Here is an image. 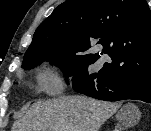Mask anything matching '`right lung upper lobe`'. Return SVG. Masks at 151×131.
Listing matches in <instances>:
<instances>
[{
    "label": "right lung upper lobe",
    "mask_w": 151,
    "mask_h": 131,
    "mask_svg": "<svg viewBox=\"0 0 151 131\" xmlns=\"http://www.w3.org/2000/svg\"><path fill=\"white\" fill-rule=\"evenodd\" d=\"M68 45L97 61L104 77L151 74V11L145 0H67L34 33L31 46ZM97 46L101 53L88 54Z\"/></svg>",
    "instance_id": "cb5924a9"
}]
</instances>
